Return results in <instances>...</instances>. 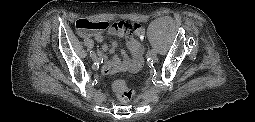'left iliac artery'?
Here are the masks:
<instances>
[{"instance_id":"left-iliac-artery-1","label":"left iliac artery","mask_w":255,"mask_h":122,"mask_svg":"<svg viewBox=\"0 0 255 122\" xmlns=\"http://www.w3.org/2000/svg\"><path fill=\"white\" fill-rule=\"evenodd\" d=\"M151 54H157V50L156 49H151Z\"/></svg>"}]
</instances>
